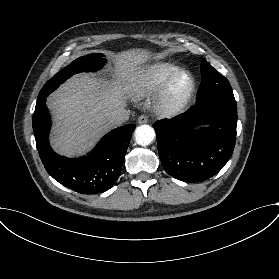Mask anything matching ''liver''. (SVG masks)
I'll use <instances>...</instances> for the list:
<instances>
[{
  "label": "liver",
  "instance_id": "6515ba94",
  "mask_svg": "<svg viewBox=\"0 0 279 279\" xmlns=\"http://www.w3.org/2000/svg\"><path fill=\"white\" fill-rule=\"evenodd\" d=\"M145 51L132 50L113 57L123 85L109 86L96 77L79 75L54 92L48 105L56 113L53 147L64 155H75L90 148L109 127L111 112L125 101L135 84L137 65L146 58Z\"/></svg>",
  "mask_w": 279,
  "mask_h": 279
}]
</instances>
